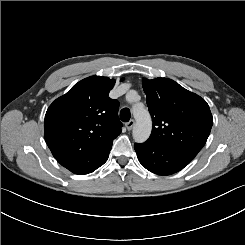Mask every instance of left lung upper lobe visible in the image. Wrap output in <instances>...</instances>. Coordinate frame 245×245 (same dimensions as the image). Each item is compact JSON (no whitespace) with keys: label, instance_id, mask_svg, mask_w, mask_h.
<instances>
[{"label":"left lung upper lobe","instance_id":"1","mask_svg":"<svg viewBox=\"0 0 245 245\" xmlns=\"http://www.w3.org/2000/svg\"><path fill=\"white\" fill-rule=\"evenodd\" d=\"M153 128L147 142L175 150L193 160L213 124L206 101L168 78H143Z\"/></svg>","mask_w":245,"mask_h":245}]
</instances>
